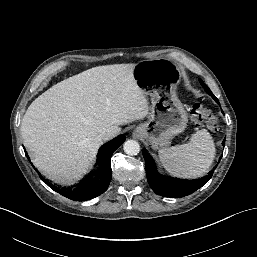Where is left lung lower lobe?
Returning <instances> with one entry per match:
<instances>
[{"mask_svg": "<svg viewBox=\"0 0 257 257\" xmlns=\"http://www.w3.org/2000/svg\"><path fill=\"white\" fill-rule=\"evenodd\" d=\"M213 98L219 104L218 99L215 96H213ZM222 144L224 146L225 141H223ZM142 153L146 163V175L148 183L156 194L164 197L179 198L193 193L202 187L212 177L214 169L216 168L215 167L206 177L202 179H178L160 174L157 171L155 163L150 155L145 150H142Z\"/></svg>", "mask_w": 257, "mask_h": 257, "instance_id": "0a47b994", "label": "left lung lower lobe"}]
</instances>
